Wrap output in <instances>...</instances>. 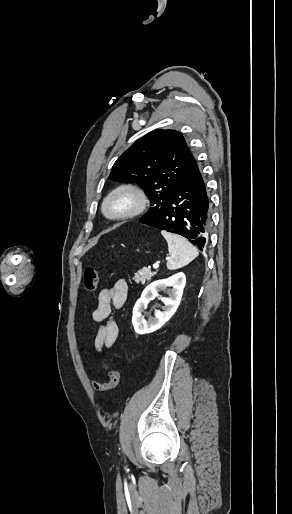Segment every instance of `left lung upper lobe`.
<instances>
[{
	"label": "left lung upper lobe",
	"instance_id": "5c2ea615",
	"mask_svg": "<svg viewBox=\"0 0 292 514\" xmlns=\"http://www.w3.org/2000/svg\"><path fill=\"white\" fill-rule=\"evenodd\" d=\"M193 154L176 130H155L133 143L114 163L108 179L135 183L148 196L149 211L141 218L148 222L159 214L185 177Z\"/></svg>",
	"mask_w": 292,
	"mask_h": 514
}]
</instances>
